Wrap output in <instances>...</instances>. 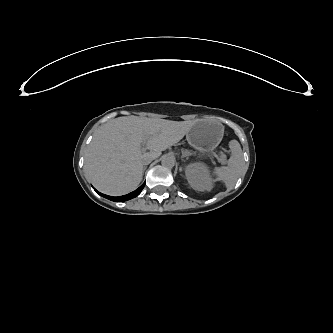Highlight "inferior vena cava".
<instances>
[{"label":"inferior vena cava","instance_id":"inferior-vena-cava-1","mask_svg":"<svg viewBox=\"0 0 333 333\" xmlns=\"http://www.w3.org/2000/svg\"><path fill=\"white\" fill-rule=\"evenodd\" d=\"M152 158H144L143 159V165H148V164H150L151 162H152Z\"/></svg>","mask_w":333,"mask_h":333}]
</instances>
